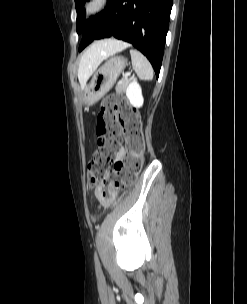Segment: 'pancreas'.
Masks as SVG:
<instances>
[{
	"label": "pancreas",
	"instance_id": "1",
	"mask_svg": "<svg viewBox=\"0 0 247 304\" xmlns=\"http://www.w3.org/2000/svg\"><path fill=\"white\" fill-rule=\"evenodd\" d=\"M128 82H129V79L123 78V79L116 85V87H115L116 92L121 93V92L125 91V88H126Z\"/></svg>",
	"mask_w": 247,
	"mask_h": 304
}]
</instances>
